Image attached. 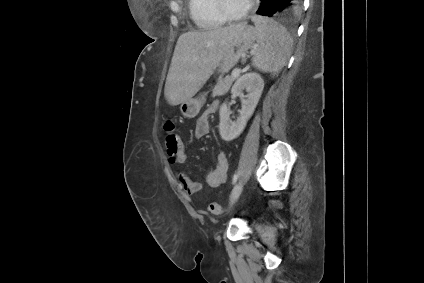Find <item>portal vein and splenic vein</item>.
Wrapping results in <instances>:
<instances>
[{"instance_id":"18ae733b","label":"portal vein and splenic vein","mask_w":424,"mask_h":283,"mask_svg":"<svg viewBox=\"0 0 424 283\" xmlns=\"http://www.w3.org/2000/svg\"><path fill=\"white\" fill-rule=\"evenodd\" d=\"M240 70L239 69H234L233 71H232V76L233 77H236V76H238L239 75V72Z\"/></svg>"}]
</instances>
